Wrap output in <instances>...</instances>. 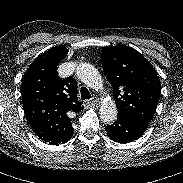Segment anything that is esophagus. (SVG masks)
Instances as JSON below:
<instances>
[{"instance_id": "esophagus-1", "label": "esophagus", "mask_w": 183, "mask_h": 183, "mask_svg": "<svg viewBox=\"0 0 183 183\" xmlns=\"http://www.w3.org/2000/svg\"><path fill=\"white\" fill-rule=\"evenodd\" d=\"M85 107H95L99 105V99L97 97H93L90 100L85 101Z\"/></svg>"}]
</instances>
